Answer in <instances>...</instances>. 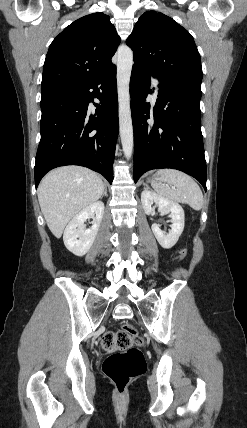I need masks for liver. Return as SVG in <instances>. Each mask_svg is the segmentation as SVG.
<instances>
[{"label":"liver","instance_id":"1","mask_svg":"<svg viewBox=\"0 0 247 428\" xmlns=\"http://www.w3.org/2000/svg\"><path fill=\"white\" fill-rule=\"evenodd\" d=\"M104 187L97 173L81 166H65L49 172L39 184L38 200L53 235L60 238L67 223L96 202Z\"/></svg>","mask_w":247,"mask_h":428}]
</instances>
